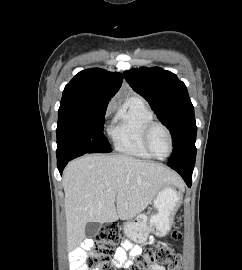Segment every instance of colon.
I'll return each mask as SVG.
<instances>
[{
  "mask_svg": "<svg viewBox=\"0 0 242 270\" xmlns=\"http://www.w3.org/2000/svg\"><path fill=\"white\" fill-rule=\"evenodd\" d=\"M180 220L175 222L172 237L175 240L182 238L179 230ZM121 231L118 225L109 224L102 228L94 237L93 245L89 250L92 254L85 264L89 270H116L111 255L120 243ZM154 265H165L168 270H181V256L167 246H155L136 256L135 262L129 270H151Z\"/></svg>",
  "mask_w": 242,
  "mask_h": 270,
  "instance_id": "obj_1",
  "label": "colon"
}]
</instances>
